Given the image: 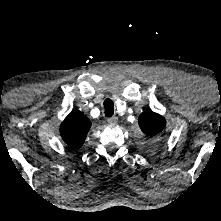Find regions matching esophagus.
<instances>
[{
    "instance_id": "1",
    "label": "esophagus",
    "mask_w": 221,
    "mask_h": 221,
    "mask_svg": "<svg viewBox=\"0 0 221 221\" xmlns=\"http://www.w3.org/2000/svg\"><path fill=\"white\" fill-rule=\"evenodd\" d=\"M108 123L111 124V125H115L118 123V118L116 116L114 117H111L108 119Z\"/></svg>"
}]
</instances>
